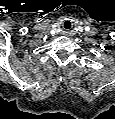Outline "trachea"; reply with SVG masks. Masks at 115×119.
I'll use <instances>...</instances> for the list:
<instances>
[{"instance_id": "1", "label": "trachea", "mask_w": 115, "mask_h": 119, "mask_svg": "<svg viewBox=\"0 0 115 119\" xmlns=\"http://www.w3.org/2000/svg\"><path fill=\"white\" fill-rule=\"evenodd\" d=\"M62 27H63L64 29H69V28L71 27V22H70L69 20H64V21L62 22Z\"/></svg>"}]
</instances>
